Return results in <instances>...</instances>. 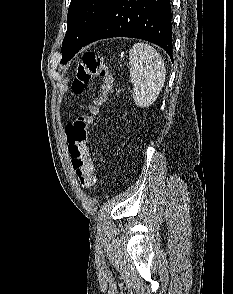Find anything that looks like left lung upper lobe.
I'll use <instances>...</instances> for the list:
<instances>
[{
	"instance_id": "1",
	"label": "left lung upper lobe",
	"mask_w": 233,
	"mask_h": 294,
	"mask_svg": "<svg viewBox=\"0 0 233 294\" xmlns=\"http://www.w3.org/2000/svg\"><path fill=\"white\" fill-rule=\"evenodd\" d=\"M110 0H71L67 32L62 43V63L70 60L83 46Z\"/></svg>"
}]
</instances>
